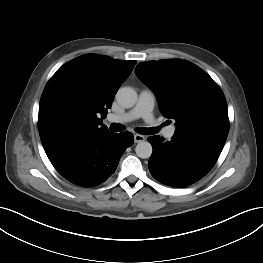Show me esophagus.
I'll list each match as a JSON object with an SVG mask.
<instances>
[{
    "mask_svg": "<svg viewBox=\"0 0 263 263\" xmlns=\"http://www.w3.org/2000/svg\"><path fill=\"white\" fill-rule=\"evenodd\" d=\"M145 140V137L143 135L140 134H135L134 135V141L135 143H139Z\"/></svg>",
    "mask_w": 263,
    "mask_h": 263,
    "instance_id": "esophagus-1",
    "label": "esophagus"
}]
</instances>
